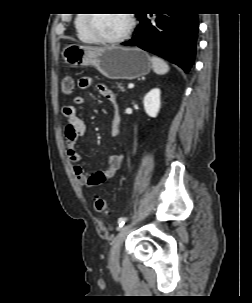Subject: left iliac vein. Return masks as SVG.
I'll return each instance as SVG.
<instances>
[{
	"instance_id": "left-iliac-vein-1",
	"label": "left iliac vein",
	"mask_w": 252,
	"mask_h": 303,
	"mask_svg": "<svg viewBox=\"0 0 252 303\" xmlns=\"http://www.w3.org/2000/svg\"><path fill=\"white\" fill-rule=\"evenodd\" d=\"M130 227H131V225H124L119 230L117 237L113 241V244H112V247L110 250V262L112 264H118V262H119L120 247H121L126 235L128 234Z\"/></svg>"
}]
</instances>
